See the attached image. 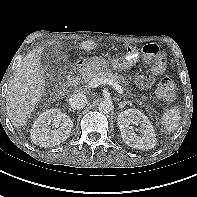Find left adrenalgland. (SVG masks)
<instances>
[{
	"label": "left adrenal gland",
	"instance_id": "left-adrenal-gland-1",
	"mask_svg": "<svg viewBox=\"0 0 197 197\" xmlns=\"http://www.w3.org/2000/svg\"><path fill=\"white\" fill-rule=\"evenodd\" d=\"M126 105H132V103L130 101H124V102H119L118 106L119 108H124Z\"/></svg>",
	"mask_w": 197,
	"mask_h": 197
}]
</instances>
